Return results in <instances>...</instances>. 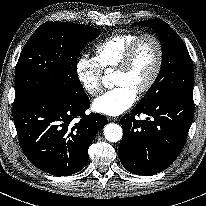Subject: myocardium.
Masks as SVG:
<instances>
[{
	"label": "myocardium",
	"mask_w": 206,
	"mask_h": 206,
	"mask_svg": "<svg viewBox=\"0 0 206 206\" xmlns=\"http://www.w3.org/2000/svg\"><path fill=\"white\" fill-rule=\"evenodd\" d=\"M144 39H151L157 47V62L155 68L145 85H143L137 92V95H143L150 91L157 82L164 63V48L161 40L152 33H144L139 35L129 46L121 63L115 69L116 72H127L134 60L137 49Z\"/></svg>",
	"instance_id": "f54148a6"
}]
</instances>
